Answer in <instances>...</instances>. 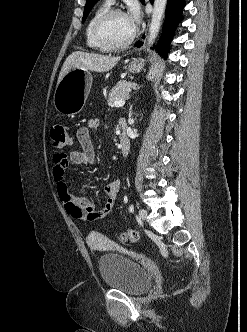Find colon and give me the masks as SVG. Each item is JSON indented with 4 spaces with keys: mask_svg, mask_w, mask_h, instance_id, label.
Returning a JSON list of instances; mask_svg holds the SVG:
<instances>
[{
    "mask_svg": "<svg viewBox=\"0 0 247 332\" xmlns=\"http://www.w3.org/2000/svg\"><path fill=\"white\" fill-rule=\"evenodd\" d=\"M51 138L56 149L62 150L72 144V138L65 125L61 123L54 124L51 128ZM123 242H137L139 240V233L134 229L127 230L121 237Z\"/></svg>",
    "mask_w": 247,
    "mask_h": 332,
    "instance_id": "5ec220e1",
    "label": "colon"
}]
</instances>
